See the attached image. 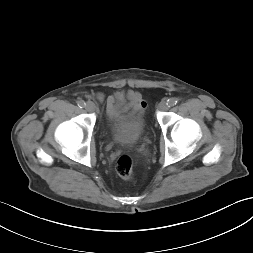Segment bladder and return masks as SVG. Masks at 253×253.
Wrapping results in <instances>:
<instances>
[{
  "label": "bladder",
  "instance_id": "obj_1",
  "mask_svg": "<svg viewBox=\"0 0 253 253\" xmlns=\"http://www.w3.org/2000/svg\"><path fill=\"white\" fill-rule=\"evenodd\" d=\"M145 132V120L140 113L132 114L119 122L112 131L114 142L123 145H134Z\"/></svg>",
  "mask_w": 253,
  "mask_h": 253
}]
</instances>
